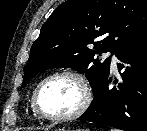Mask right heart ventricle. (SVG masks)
<instances>
[{
	"label": "right heart ventricle",
	"instance_id": "right-heart-ventricle-1",
	"mask_svg": "<svg viewBox=\"0 0 147 131\" xmlns=\"http://www.w3.org/2000/svg\"><path fill=\"white\" fill-rule=\"evenodd\" d=\"M31 109H32V112H33V115H34V117H38V115L35 113V111H34V109H33V106H32V103H31Z\"/></svg>",
	"mask_w": 147,
	"mask_h": 131
}]
</instances>
